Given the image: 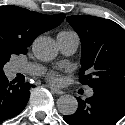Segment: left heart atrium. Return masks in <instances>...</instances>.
<instances>
[{
    "instance_id": "left-heart-atrium-1",
    "label": "left heart atrium",
    "mask_w": 125,
    "mask_h": 125,
    "mask_svg": "<svg viewBox=\"0 0 125 125\" xmlns=\"http://www.w3.org/2000/svg\"><path fill=\"white\" fill-rule=\"evenodd\" d=\"M47 78L51 83H54V84L60 82L61 80L59 73L55 70L50 71L47 74Z\"/></svg>"
}]
</instances>
